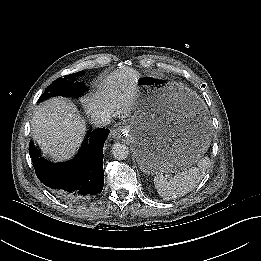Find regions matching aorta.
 <instances>
[{
	"instance_id": "1",
	"label": "aorta",
	"mask_w": 261,
	"mask_h": 261,
	"mask_svg": "<svg viewBox=\"0 0 261 261\" xmlns=\"http://www.w3.org/2000/svg\"><path fill=\"white\" fill-rule=\"evenodd\" d=\"M112 154L117 160H124L129 155V149L125 144L116 143L112 147Z\"/></svg>"
}]
</instances>
